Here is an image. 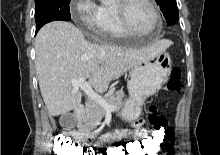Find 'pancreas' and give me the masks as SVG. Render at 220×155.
<instances>
[{
	"instance_id": "pancreas-1",
	"label": "pancreas",
	"mask_w": 220,
	"mask_h": 155,
	"mask_svg": "<svg viewBox=\"0 0 220 155\" xmlns=\"http://www.w3.org/2000/svg\"><path fill=\"white\" fill-rule=\"evenodd\" d=\"M124 93L122 91L116 92L114 96L106 99L107 103L114 106V111H118L123 107ZM106 110L97 102L91 101L85 108V114L81 118L84 123L80 125L85 131L93 130L101 124V120L104 118Z\"/></svg>"
}]
</instances>
